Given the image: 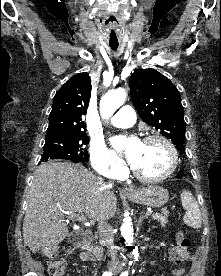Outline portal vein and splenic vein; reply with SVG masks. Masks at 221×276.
Here are the masks:
<instances>
[{
    "label": "portal vein and splenic vein",
    "mask_w": 221,
    "mask_h": 276,
    "mask_svg": "<svg viewBox=\"0 0 221 276\" xmlns=\"http://www.w3.org/2000/svg\"><path fill=\"white\" fill-rule=\"evenodd\" d=\"M66 213H67V212H66ZM67 214H69V213H67ZM146 215H147V216L151 215V212H146ZM73 218L76 219V220H78V221H80V222H84V223H86V224H89V223L87 222L86 217H85L83 214H77V215L73 216Z\"/></svg>",
    "instance_id": "portal-vein-and-splenic-vein-1"
}]
</instances>
